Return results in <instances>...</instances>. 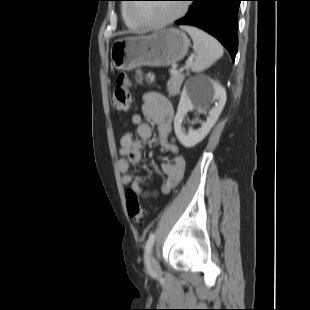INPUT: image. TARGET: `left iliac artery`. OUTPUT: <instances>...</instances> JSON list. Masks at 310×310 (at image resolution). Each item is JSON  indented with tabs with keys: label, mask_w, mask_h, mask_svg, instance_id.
I'll list each match as a JSON object with an SVG mask.
<instances>
[{
	"label": "left iliac artery",
	"mask_w": 310,
	"mask_h": 310,
	"mask_svg": "<svg viewBox=\"0 0 310 310\" xmlns=\"http://www.w3.org/2000/svg\"><path fill=\"white\" fill-rule=\"evenodd\" d=\"M155 238H156V233H151L149 235V238L146 242V246H145V255H144V261L147 267H149V255L151 252V249L153 247V244L155 242Z\"/></svg>",
	"instance_id": "left-iliac-artery-1"
}]
</instances>
